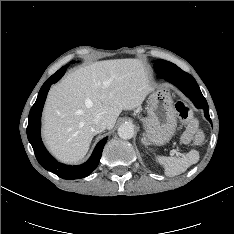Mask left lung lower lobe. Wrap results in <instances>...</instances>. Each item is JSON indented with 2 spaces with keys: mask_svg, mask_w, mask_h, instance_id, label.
I'll use <instances>...</instances> for the list:
<instances>
[{
  "mask_svg": "<svg viewBox=\"0 0 234 234\" xmlns=\"http://www.w3.org/2000/svg\"><path fill=\"white\" fill-rule=\"evenodd\" d=\"M163 78L177 86L187 97L190 98L197 108H202L204 110L205 117L210 123H212L209 116L207 101L202 95L195 79L190 74L182 71L178 74L166 75Z\"/></svg>",
  "mask_w": 234,
  "mask_h": 234,
  "instance_id": "1",
  "label": "left lung lower lobe"
}]
</instances>
